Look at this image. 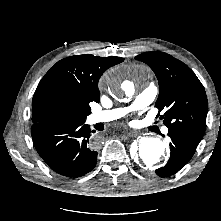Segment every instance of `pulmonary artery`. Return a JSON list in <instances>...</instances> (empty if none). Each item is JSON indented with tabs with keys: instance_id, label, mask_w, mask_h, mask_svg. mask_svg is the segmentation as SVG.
I'll list each match as a JSON object with an SVG mask.
<instances>
[{
	"instance_id": "pulmonary-artery-1",
	"label": "pulmonary artery",
	"mask_w": 221,
	"mask_h": 221,
	"mask_svg": "<svg viewBox=\"0 0 221 221\" xmlns=\"http://www.w3.org/2000/svg\"><path fill=\"white\" fill-rule=\"evenodd\" d=\"M158 93V88L154 84L148 85L144 88L136 97L134 103L129 108H117L105 111H95L90 116V122L92 124L105 123L116 120L124 116L130 110H138L149 106ZM169 129L167 127L163 128V133L167 134Z\"/></svg>"
}]
</instances>
